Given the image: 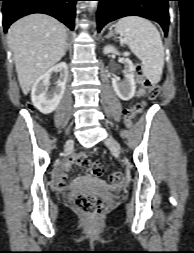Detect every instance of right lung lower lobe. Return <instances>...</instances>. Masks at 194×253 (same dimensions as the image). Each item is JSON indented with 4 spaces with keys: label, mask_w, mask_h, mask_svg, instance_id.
Wrapping results in <instances>:
<instances>
[{
    "label": "right lung lower lobe",
    "mask_w": 194,
    "mask_h": 253,
    "mask_svg": "<svg viewBox=\"0 0 194 253\" xmlns=\"http://www.w3.org/2000/svg\"><path fill=\"white\" fill-rule=\"evenodd\" d=\"M3 1V27L6 32L17 19L44 13L55 17L71 30L74 29L75 3L78 0H0Z\"/></svg>",
    "instance_id": "right-lung-lower-lobe-1"
}]
</instances>
